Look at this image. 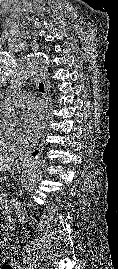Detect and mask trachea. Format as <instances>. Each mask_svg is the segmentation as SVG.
Returning a JSON list of instances; mask_svg holds the SVG:
<instances>
[{
	"instance_id": "obj_1",
	"label": "trachea",
	"mask_w": 118,
	"mask_h": 269,
	"mask_svg": "<svg viewBox=\"0 0 118 269\" xmlns=\"http://www.w3.org/2000/svg\"><path fill=\"white\" fill-rule=\"evenodd\" d=\"M40 92H44L45 89H44V84L43 83H40L39 86H38Z\"/></svg>"
}]
</instances>
